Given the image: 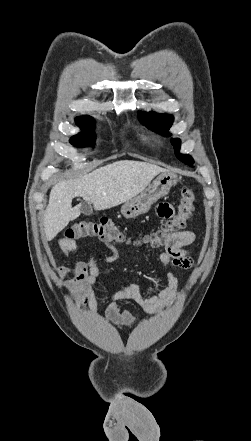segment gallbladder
<instances>
[{"instance_id": "gallbladder-1", "label": "gallbladder", "mask_w": 251, "mask_h": 441, "mask_svg": "<svg viewBox=\"0 0 251 441\" xmlns=\"http://www.w3.org/2000/svg\"><path fill=\"white\" fill-rule=\"evenodd\" d=\"M80 211L84 215H91L93 212V208L90 202H83L80 204Z\"/></svg>"}]
</instances>
